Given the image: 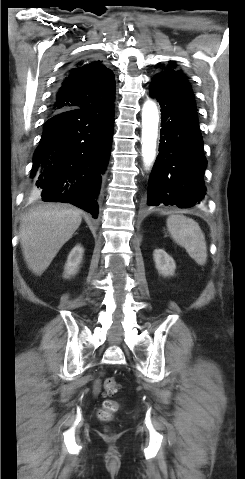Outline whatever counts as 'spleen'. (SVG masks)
I'll return each mask as SVG.
<instances>
[{"label":"spleen","instance_id":"spleen-1","mask_svg":"<svg viewBox=\"0 0 245 479\" xmlns=\"http://www.w3.org/2000/svg\"><path fill=\"white\" fill-rule=\"evenodd\" d=\"M167 228L172 238L186 249L198 265H205L207 261L205 236L195 220L184 215L172 214L167 218Z\"/></svg>","mask_w":245,"mask_h":479}]
</instances>
